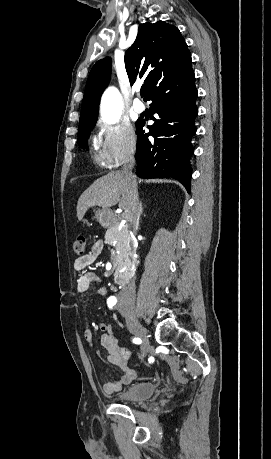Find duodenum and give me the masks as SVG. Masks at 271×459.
<instances>
[{
    "label": "duodenum",
    "mask_w": 271,
    "mask_h": 459,
    "mask_svg": "<svg viewBox=\"0 0 271 459\" xmlns=\"http://www.w3.org/2000/svg\"><path fill=\"white\" fill-rule=\"evenodd\" d=\"M136 266H137V263H135L134 267L131 269L120 271L116 273L115 275L116 284L120 286H124L127 283H129V281L131 280V278L133 277L135 273Z\"/></svg>",
    "instance_id": "410a0bca"
}]
</instances>
